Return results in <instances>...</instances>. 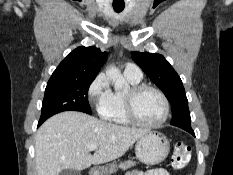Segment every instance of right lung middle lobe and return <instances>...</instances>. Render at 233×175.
Here are the masks:
<instances>
[{"mask_svg": "<svg viewBox=\"0 0 233 175\" xmlns=\"http://www.w3.org/2000/svg\"><path fill=\"white\" fill-rule=\"evenodd\" d=\"M95 78L49 80L45 89L39 121L62 111H81L91 114L88 89Z\"/></svg>", "mask_w": 233, "mask_h": 175, "instance_id": "1", "label": "right lung middle lobe"}]
</instances>
